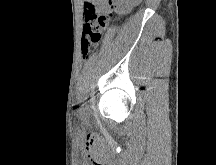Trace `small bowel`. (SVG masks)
Here are the masks:
<instances>
[{
	"label": "small bowel",
	"mask_w": 216,
	"mask_h": 165,
	"mask_svg": "<svg viewBox=\"0 0 216 165\" xmlns=\"http://www.w3.org/2000/svg\"><path fill=\"white\" fill-rule=\"evenodd\" d=\"M141 0H125L124 7L131 9L133 6L138 4ZM110 6V0H85L84 8L86 10H98L101 13L107 12Z\"/></svg>",
	"instance_id": "1"
}]
</instances>
